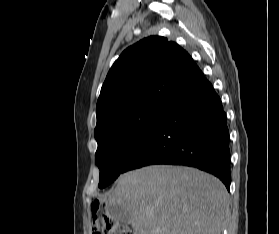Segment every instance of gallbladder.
I'll list each match as a JSON object with an SVG mask.
<instances>
[{"label":"gallbladder","instance_id":"bac80fb5","mask_svg":"<svg viewBox=\"0 0 279 234\" xmlns=\"http://www.w3.org/2000/svg\"><path fill=\"white\" fill-rule=\"evenodd\" d=\"M109 215L123 223H129L130 217L128 211L122 206H108Z\"/></svg>","mask_w":279,"mask_h":234}]
</instances>
